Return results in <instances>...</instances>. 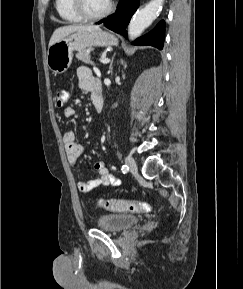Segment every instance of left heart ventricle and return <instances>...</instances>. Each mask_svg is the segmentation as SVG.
<instances>
[{"mask_svg":"<svg viewBox=\"0 0 243 289\" xmlns=\"http://www.w3.org/2000/svg\"><path fill=\"white\" fill-rule=\"evenodd\" d=\"M109 1L110 0H85V6L90 13L97 14L108 7Z\"/></svg>","mask_w":243,"mask_h":289,"instance_id":"1","label":"left heart ventricle"}]
</instances>
